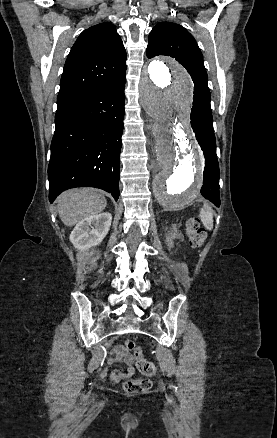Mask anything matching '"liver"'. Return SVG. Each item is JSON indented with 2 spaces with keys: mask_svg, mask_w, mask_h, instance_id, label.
<instances>
[{
  "mask_svg": "<svg viewBox=\"0 0 277 438\" xmlns=\"http://www.w3.org/2000/svg\"><path fill=\"white\" fill-rule=\"evenodd\" d=\"M107 206L106 198L92 188H75L67 190L57 198L60 220L64 226H75L87 216L103 212Z\"/></svg>",
  "mask_w": 277,
  "mask_h": 438,
  "instance_id": "obj_1",
  "label": "liver"
}]
</instances>
